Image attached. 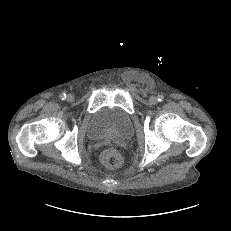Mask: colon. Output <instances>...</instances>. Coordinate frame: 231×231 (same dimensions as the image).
<instances>
[{"instance_id":"5ec220e1","label":"colon","mask_w":231,"mask_h":231,"mask_svg":"<svg viewBox=\"0 0 231 231\" xmlns=\"http://www.w3.org/2000/svg\"><path fill=\"white\" fill-rule=\"evenodd\" d=\"M101 161L107 167H118L122 162L121 154L114 148H107L101 154Z\"/></svg>"}]
</instances>
